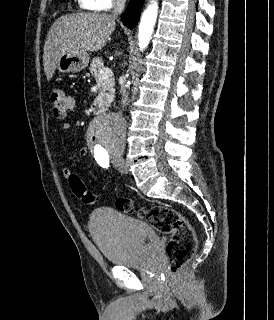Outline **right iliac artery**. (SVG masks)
<instances>
[{"label":"right iliac artery","mask_w":274,"mask_h":320,"mask_svg":"<svg viewBox=\"0 0 274 320\" xmlns=\"http://www.w3.org/2000/svg\"><path fill=\"white\" fill-rule=\"evenodd\" d=\"M101 167L107 168L109 166V159H101L98 161Z\"/></svg>","instance_id":"1"}]
</instances>
